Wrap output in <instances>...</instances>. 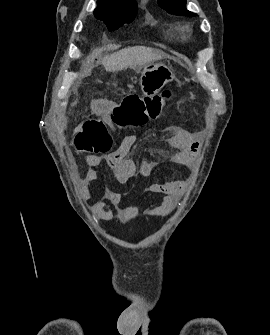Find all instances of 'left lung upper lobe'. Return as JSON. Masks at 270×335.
I'll list each match as a JSON object with an SVG mask.
<instances>
[{
	"instance_id": "obj_1",
	"label": "left lung upper lobe",
	"mask_w": 270,
	"mask_h": 335,
	"mask_svg": "<svg viewBox=\"0 0 270 335\" xmlns=\"http://www.w3.org/2000/svg\"><path fill=\"white\" fill-rule=\"evenodd\" d=\"M158 4L161 8L165 9L169 13L181 16H196L185 8L186 0H158Z\"/></svg>"
}]
</instances>
